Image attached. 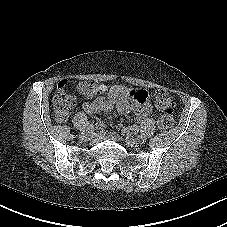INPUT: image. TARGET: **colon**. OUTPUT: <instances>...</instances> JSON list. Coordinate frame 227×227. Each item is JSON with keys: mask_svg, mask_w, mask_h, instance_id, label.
Returning <instances> with one entry per match:
<instances>
[{"mask_svg": "<svg viewBox=\"0 0 227 227\" xmlns=\"http://www.w3.org/2000/svg\"><path fill=\"white\" fill-rule=\"evenodd\" d=\"M77 91L85 98H92L99 92V84L94 81H83L78 84ZM154 100L156 106L164 110L158 121L159 127L169 129L173 125L171 110L175 106L174 98L165 90H157L154 93ZM74 105L73 92L67 89L64 82L60 83L53 99L55 119L59 123L67 121Z\"/></svg>", "mask_w": 227, "mask_h": 227, "instance_id": "1", "label": "colon"}]
</instances>
